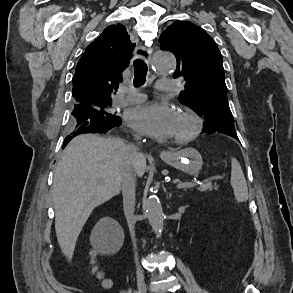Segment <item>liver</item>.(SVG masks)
Here are the masks:
<instances>
[{
    "label": "liver",
    "instance_id": "liver-1",
    "mask_svg": "<svg viewBox=\"0 0 293 293\" xmlns=\"http://www.w3.org/2000/svg\"><path fill=\"white\" fill-rule=\"evenodd\" d=\"M128 146L116 138L92 134L76 136L60 158L51 190L55 230L63 254L72 258L77 238L92 211L120 192V174ZM146 158L134 160L141 177Z\"/></svg>",
    "mask_w": 293,
    "mask_h": 293
}]
</instances>
